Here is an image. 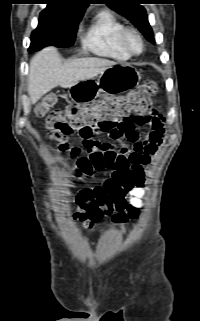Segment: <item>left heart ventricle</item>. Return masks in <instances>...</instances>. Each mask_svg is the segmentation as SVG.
<instances>
[{
  "label": "left heart ventricle",
  "mask_w": 200,
  "mask_h": 321,
  "mask_svg": "<svg viewBox=\"0 0 200 321\" xmlns=\"http://www.w3.org/2000/svg\"><path fill=\"white\" fill-rule=\"evenodd\" d=\"M127 44L130 47V49H132L133 51H138L140 49V42L138 38L133 34H130L128 36Z\"/></svg>",
  "instance_id": "1"
}]
</instances>
